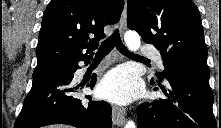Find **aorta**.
Masks as SVG:
<instances>
[{"label":"aorta","instance_id":"1","mask_svg":"<svg viewBox=\"0 0 221 128\" xmlns=\"http://www.w3.org/2000/svg\"><path fill=\"white\" fill-rule=\"evenodd\" d=\"M125 43L130 51H137L140 48V36L135 31H127L124 35ZM124 128H136L135 123L131 120L126 123Z\"/></svg>","mask_w":221,"mask_h":128}]
</instances>
